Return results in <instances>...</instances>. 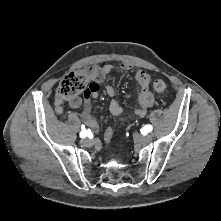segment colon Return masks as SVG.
Masks as SVG:
<instances>
[{
  "label": "colon",
  "instance_id": "1",
  "mask_svg": "<svg viewBox=\"0 0 221 221\" xmlns=\"http://www.w3.org/2000/svg\"><path fill=\"white\" fill-rule=\"evenodd\" d=\"M89 83L87 77L81 73H70L64 77L59 89L58 97L62 100L76 97L81 94L84 88H87ZM154 89L160 94H164L167 91V84L165 81L158 79L154 82Z\"/></svg>",
  "mask_w": 221,
  "mask_h": 221
}]
</instances>
